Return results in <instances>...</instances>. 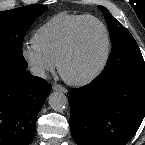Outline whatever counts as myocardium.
Returning a JSON list of instances; mask_svg holds the SVG:
<instances>
[{
    "label": "myocardium",
    "instance_id": "1",
    "mask_svg": "<svg viewBox=\"0 0 145 145\" xmlns=\"http://www.w3.org/2000/svg\"><path fill=\"white\" fill-rule=\"evenodd\" d=\"M88 21H94L98 23L104 30L105 38H106L105 54L101 63L92 72L80 78H71L66 75L64 71V65L67 62V60L72 56V54L74 53L78 45L79 33L81 30V27ZM111 52H112V39H111V34L107 25L100 18L93 15H87L83 17L82 19H80L72 29L69 41L57 62L59 74L61 75L63 80L66 81L68 84H71L74 86H85L93 82L104 72V70L106 69L110 61Z\"/></svg>",
    "mask_w": 145,
    "mask_h": 145
}]
</instances>
